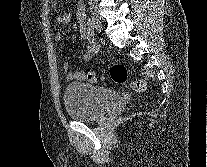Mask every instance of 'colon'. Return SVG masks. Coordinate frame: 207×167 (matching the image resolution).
Returning <instances> with one entry per match:
<instances>
[{
	"instance_id": "obj_1",
	"label": "colon",
	"mask_w": 207,
	"mask_h": 167,
	"mask_svg": "<svg viewBox=\"0 0 207 167\" xmlns=\"http://www.w3.org/2000/svg\"><path fill=\"white\" fill-rule=\"evenodd\" d=\"M86 79L89 82H95L97 80V74L93 71H88ZM110 78L117 84H125L128 81L129 73L124 64H114L109 71ZM131 86L135 91L145 92L147 89L146 82L143 79H135L131 82Z\"/></svg>"
}]
</instances>
